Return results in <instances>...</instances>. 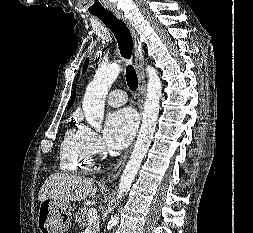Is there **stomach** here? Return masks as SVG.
Segmentation results:
<instances>
[{
	"label": "stomach",
	"instance_id": "obj_1",
	"mask_svg": "<svg viewBox=\"0 0 253 233\" xmlns=\"http://www.w3.org/2000/svg\"><path fill=\"white\" fill-rule=\"evenodd\" d=\"M71 217L72 206L68 201L50 198L41 201L37 218L40 233H64Z\"/></svg>",
	"mask_w": 253,
	"mask_h": 233
}]
</instances>
